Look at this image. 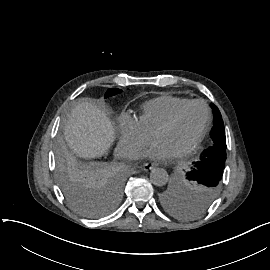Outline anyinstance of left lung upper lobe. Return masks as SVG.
<instances>
[{
	"mask_svg": "<svg viewBox=\"0 0 270 270\" xmlns=\"http://www.w3.org/2000/svg\"><path fill=\"white\" fill-rule=\"evenodd\" d=\"M211 106L214 113L212 146L193 163L192 170L185 178L161 197L163 206L180 217L202 213L215 199L221 187L226 161V137L221 113L214 104Z\"/></svg>",
	"mask_w": 270,
	"mask_h": 270,
	"instance_id": "left-lung-upper-lobe-1",
	"label": "left lung upper lobe"
}]
</instances>
